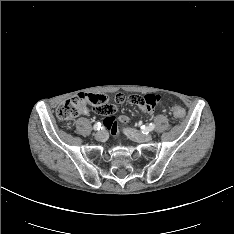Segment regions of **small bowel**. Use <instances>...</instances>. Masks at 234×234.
Instances as JSON below:
<instances>
[{
	"instance_id": "small-bowel-1",
	"label": "small bowel",
	"mask_w": 234,
	"mask_h": 234,
	"mask_svg": "<svg viewBox=\"0 0 234 234\" xmlns=\"http://www.w3.org/2000/svg\"><path fill=\"white\" fill-rule=\"evenodd\" d=\"M113 101L117 104H132L136 108H140L145 113H152L156 108L163 106L165 99L163 95L159 93H147V94H130L124 95L123 93H116L113 96ZM86 102L90 113L103 117L102 122L112 134H116L117 122L125 124L129 121V117L121 115L118 120L115 115L117 114V108L114 104L110 103V98L105 93L88 95Z\"/></svg>"
}]
</instances>
